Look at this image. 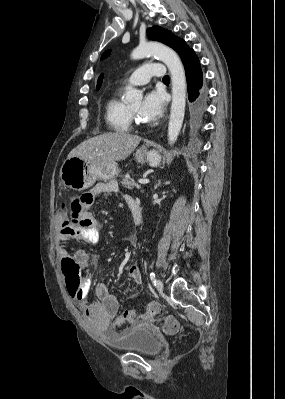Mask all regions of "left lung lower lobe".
<instances>
[{
  "mask_svg": "<svg viewBox=\"0 0 285 399\" xmlns=\"http://www.w3.org/2000/svg\"><path fill=\"white\" fill-rule=\"evenodd\" d=\"M181 60L184 64L189 101L194 103L197 112H202L205 106L206 93L202 88V71L200 61L192 48L181 54Z\"/></svg>",
  "mask_w": 285,
  "mask_h": 399,
  "instance_id": "1",
  "label": "left lung lower lobe"
}]
</instances>
